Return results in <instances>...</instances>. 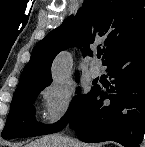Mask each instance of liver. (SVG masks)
I'll list each match as a JSON object with an SVG mask.
<instances>
[{"label":"liver","mask_w":145,"mask_h":147,"mask_svg":"<svg viewBox=\"0 0 145 147\" xmlns=\"http://www.w3.org/2000/svg\"><path fill=\"white\" fill-rule=\"evenodd\" d=\"M25 147H100V145L84 144L79 140L60 135H47L32 141Z\"/></svg>","instance_id":"liver-1"}]
</instances>
